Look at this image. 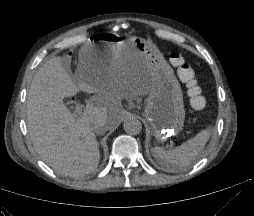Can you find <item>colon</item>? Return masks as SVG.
I'll list each match as a JSON object with an SVG mask.
<instances>
[{
    "instance_id": "obj_1",
    "label": "colon",
    "mask_w": 254,
    "mask_h": 216,
    "mask_svg": "<svg viewBox=\"0 0 254 216\" xmlns=\"http://www.w3.org/2000/svg\"><path fill=\"white\" fill-rule=\"evenodd\" d=\"M169 60L176 68L179 79L186 85L192 107L196 110L203 109L206 105V101L203 96L202 88L197 83L193 68L185 62V59L179 53H171Z\"/></svg>"
}]
</instances>
